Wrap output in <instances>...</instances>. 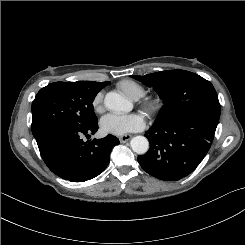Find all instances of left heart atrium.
Masks as SVG:
<instances>
[{
  "label": "left heart atrium",
  "mask_w": 245,
  "mask_h": 245,
  "mask_svg": "<svg viewBox=\"0 0 245 245\" xmlns=\"http://www.w3.org/2000/svg\"><path fill=\"white\" fill-rule=\"evenodd\" d=\"M144 126L145 120L139 113H109L100 120L102 131L116 136H123L127 133L141 130Z\"/></svg>",
  "instance_id": "left-heart-atrium-1"
}]
</instances>
